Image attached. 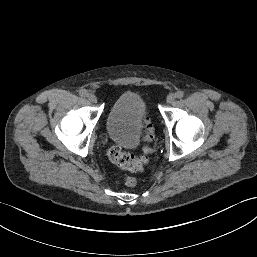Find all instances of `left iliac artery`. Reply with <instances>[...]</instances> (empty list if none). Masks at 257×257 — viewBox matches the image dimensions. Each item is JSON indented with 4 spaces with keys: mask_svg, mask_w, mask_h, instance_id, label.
<instances>
[{
    "mask_svg": "<svg viewBox=\"0 0 257 257\" xmlns=\"http://www.w3.org/2000/svg\"><path fill=\"white\" fill-rule=\"evenodd\" d=\"M175 97L178 99H181L184 97V93L182 91H178V92H176Z\"/></svg>",
    "mask_w": 257,
    "mask_h": 257,
    "instance_id": "left-iliac-artery-1",
    "label": "left iliac artery"
}]
</instances>
